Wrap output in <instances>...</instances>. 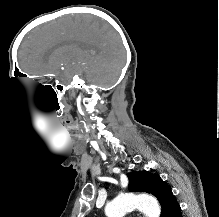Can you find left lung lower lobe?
Returning a JSON list of instances; mask_svg holds the SVG:
<instances>
[{"instance_id":"0a47b994","label":"left lung lower lobe","mask_w":219,"mask_h":217,"mask_svg":"<svg viewBox=\"0 0 219 217\" xmlns=\"http://www.w3.org/2000/svg\"><path fill=\"white\" fill-rule=\"evenodd\" d=\"M166 217H182L181 208L177 201L173 202Z\"/></svg>"}]
</instances>
